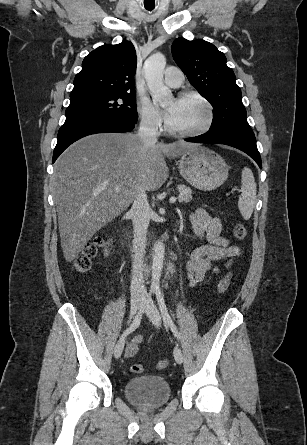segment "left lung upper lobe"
<instances>
[{
	"label": "left lung upper lobe",
	"instance_id": "obj_1",
	"mask_svg": "<svg viewBox=\"0 0 307 445\" xmlns=\"http://www.w3.org/2000/svg\"><path fill=\"white\" fill-rule=\"evenodd\" d=\"M177 65L190 83L214 108L209 131L225 128L251 129L236 77L226 65V57L213 44L198 39L177 38L172 44Z\"/></svg>",
	"mask_w": 307,
	"mask_h": 445
}]
</instances>
